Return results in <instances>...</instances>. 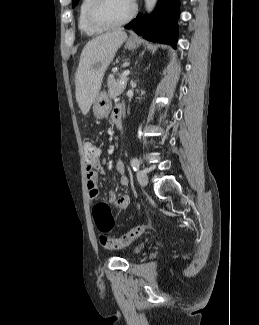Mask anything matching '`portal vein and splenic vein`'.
Here are the masks:
<instances>
[{
    "label": "portal vein and splenic vein",
    "mask_w": 259,
    "mask_h": 325,
    "mask_svg": "<svg viewBox=\"0 0 259 325\" xmlns=\"http://www.w3.org/2000/svg\"><path fill=\"white\" fill-rule=\"evenodd\" d=\"M130 74V71L129 70H125L123 73H122V76L123 77H126Z\"/></svg>",
    "instance_id": "portal-vein-and-splenic-vein-1"
}]
</instances>
